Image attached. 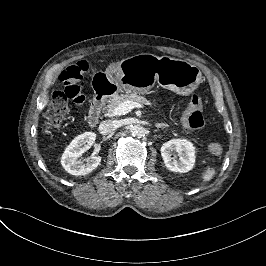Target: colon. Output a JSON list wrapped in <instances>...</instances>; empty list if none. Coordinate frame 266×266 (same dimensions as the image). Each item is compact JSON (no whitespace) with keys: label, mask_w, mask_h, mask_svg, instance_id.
<instances>
[{"label":"colon","mask_w":266,"mask_h":266,"mask_svg":"<svg viewBox=\"0 0 266 266\" xmlns=\"http://www.w3.org/2000/svg\"><path fill=\"white\" fill-rule=\"evenodd\" d=\"M89 69V64L84 59H77L72 65L63 69L59 75L60 81L64 84L63 90H57L51 95V103L43 123V130L46 134L54 133L59 130L63 121L69 112V102L80 104L84 101L85 93L84 74ZM193 106L200 104V98L193 95L191 98ZM184 123L191 129L202 130L205 120L201 111L195 110L190 113ZM209 151L214 155H219L222 152V147L219 143H210Z\"/></svg>","instance_id":"5ec220e1"}]
</instances>
